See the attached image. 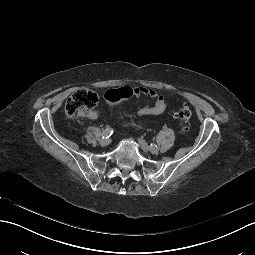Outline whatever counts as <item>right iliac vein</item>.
<instances>
[{
	"mask_svg": "<svg viewBox=\"0 0 255 255\" xmlns=\"http://www.w3.org/2000/svg\"><path fill=\"white\" fill-rule=\"evenodd\" d=\"M110 142H111L110 139H101L99 143L101 146H107L110 144Z\"/></svg>",
	"mask_w": 255,
	"mask_h": 255,
	"instance_id": "63e3f726",
	"label": "right iliac vein"
}]
</instances>
